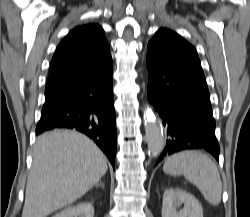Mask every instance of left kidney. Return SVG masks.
Listing matches in <instances>:
<instances>
[{
	"mask_svg": "<svg viewBox=\"0 0 250 217\" xmlns=\"http://www.w3.org/2000/svg\"><path fill=\"white\" fill-rule=\"evenodd\" d=\"M162 217H203V210L192 194L180 188H168L163 194Z\"/></svg>",
	"mask_w": 250,
	"mask_h": 217,
	"instance_id": "obj_1",
	"label": "left kidney"
}]
</instances>
